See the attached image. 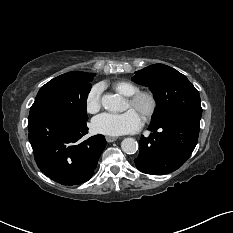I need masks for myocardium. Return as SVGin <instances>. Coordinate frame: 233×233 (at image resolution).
Here are the masks:
<instances>
[{"label":"myocardium","instance_id":"1","mask_svg":"<svg viewBox=\"0 0 233 233\" xmlns=\"http://www.w3.org/2000/svg\"><path fill=\"white\" fill-rule=\"evenodd\" d=\"M142 100L148 102L147 108L142 112V119L145 122L150 121L157 111V98L156 95L150 90H139L127 98V102L132 107H137Z\"/></svg>","mask_w":233,"mask_h":233}]
</instances>
